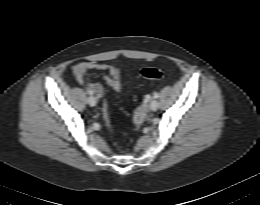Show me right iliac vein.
Wrapping results in <instances>:
<instances>
[{"label":"right iliac vein","instance_id":"63e3f726","mask_svg":"<svg viewBox=\"0 0 260 205\" xmlns=\"http://www.w3.org/2000/svg\"><path fill=\"white\" fill-rule=\"evenodd\" d=\"M87 102H88V104H89L90 106L93 107V106L96 105L97 100H96V98H95L94 96H90V97H88Z\"/></svg>","mask_w":260,"mask_h":205}]
</instances>
